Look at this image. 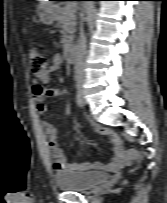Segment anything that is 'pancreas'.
Masks as SVG:
<instances>
[{
  "label": "pancreas",
  "mask_w": 167,
  "mask_h": 203,
  "mask_svg": "<svg viewBox=\"0 0 167 203\" xmlns=\"http://www.w3.org/2000/svg\"><path fill=\"white\" fill-rule=\"evenodd\" d=\"M57 21L61 27L63 49L67 50L72 46L74 32L76 31L77 17L74 12H69L66 8L60 10Z\"/></svg>",
  "instance_id": "cf45deb5"
}]
</instances>
